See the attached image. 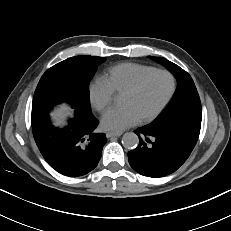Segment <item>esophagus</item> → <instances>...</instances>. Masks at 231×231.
Here are the masks:
<instances>
[{
    "mask_svg": "<svg viewBox=\"0 0 231 231\" xmlns=\"http://www.w3.org/2000/svg\"><path fill=\"white\" fill-rule=\"evenodd\" d=\"M122 135V132H107L106 137L112 138V137H119Z\"/></svg>",
    "mask_w": 231,
    "mask_h": 231,
    "instance_id": "1",
    "label": "esophagus"
}]
</instances>
